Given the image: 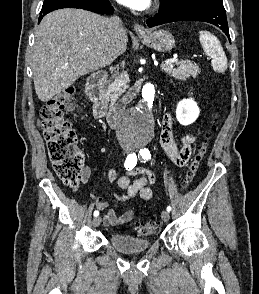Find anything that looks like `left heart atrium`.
Returning <instances> with one entry per match:
<instances>
[{
  "label": "left heart atrium",
  "instance_id": "1",
  "mask_svg": "<svg viewBox=\"0 0 259 294\" xmlns=\"http://www.w3.org/2000/svg\"><path fill=\"white\" fill-rule=\"evenodd\" d=\"M120 4L135 10H145L150 6L151 0H117Z\"/></svg>",
  "mask_w": 259,
  "mask_h": 294
}]
</instances>
